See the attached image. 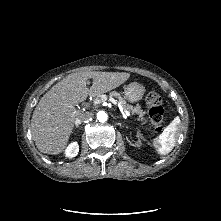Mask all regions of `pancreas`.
Here are the masks:
<instances>
[{
  "instance_id": "1",
  "label": "pancreas",
  "mask_w": 221,
  "mask_h": 221,
  "mask_svg": "<svg viewBox=\"0 0 221 221\" xmlns=\"http://www.w3.org/2000/svg\"><path fill=\"white\" fill-rule=\"evenodd\" d=\"M101 97L102 96H99L98 98H101ZM110 97L116 98L118 100V102L122 105V107H124L126 110H131V112L133 114H137L139 116V120L143 124L146 123V119L144 118L145 112L139 106L133 107V106L127 104V102L124 100V98L121 97V95L116 91L111 92Z\"/></svg>"
}]
</instances>
